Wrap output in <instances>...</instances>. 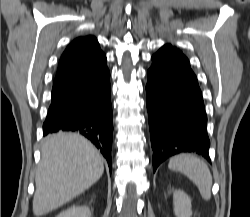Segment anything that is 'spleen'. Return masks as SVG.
<instances>
[{
  "mask_svg": "<svg viewBox=\"0 0 250 217\" xmlns=\"http://www.w3.org/2000/svg\"><path fill=\"white\" fill-rule=\"evenodd\" d=\"M168 167L186 175L197 186L202 198L210 200L212 175L203 160L193 154H180L170 159Z\"/></svg>",
  "mask_w": 250,
  "mask_h": 217,
  "instance_id": "1",
  "label": "spleen"
}]
</instances>
